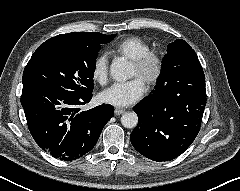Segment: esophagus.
I'll use <instances>...</instances> for the list:
<instances>
[{"mask_svg": "<svg viewBox=\"0 0 240 191\" xmlns=\"http://www.w3.org/2000/svg\"><path fill=\"white\" fill-rule=\"evenodd\" d=\"M124 112H125V110L124 109H120V108H115V110H114L115 115H121Z\"/></svg>", "mask_w": 240, "mask_h": 191, "instance_id": "1", "label": "esophagus"}]
</instances>
